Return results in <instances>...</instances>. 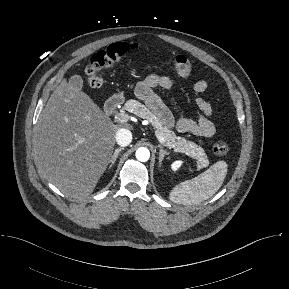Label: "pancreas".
Wrapping results in <instances>:
<instances>
[{
	"label": "pancreas",
	"mask_w": 289,
	"mask_h": 289,
	"mask_svg": "<svg viewBox=\"0 0 289 289\" xmlns=\"http://www.w3.org/2000/svg\"><path fill=\"white\" fill-rule=\"evenodd\" d=\"M124 109L134 113L138 117L147 119L164 137L166 146L173 148L176 152L185 153L189 157L195 159L197 170L209 165L207 155L202 147L193 142L187 141L185 138L176 136L175 132L163 124L156 114L145 105L131 99L126 102Z\"/></svg>",
	"instance_id": "pancreas-1"
}]
</instances>
